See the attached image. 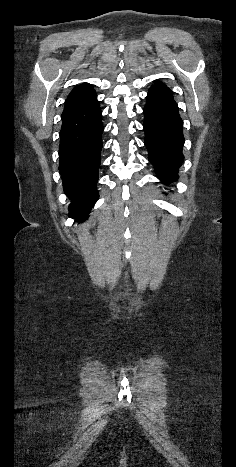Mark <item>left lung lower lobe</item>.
<instances>
[{"label": "left lung lower lobe", "instance_id": "0a47b994", "mask_svg": "<svg viewBox=\"0 0 236 467\" xmlns=\"http://www.w3.org/2000/svg\"><path fill=\"white\" fill-rule=\"evenodd\" d=\"M145 145L157 177L169 184L177 178L182 165L183 121L172 91L152 86L144 107Z\"/></svg>", "mask_w": 236, "mask_h": 467}]
</instances>
